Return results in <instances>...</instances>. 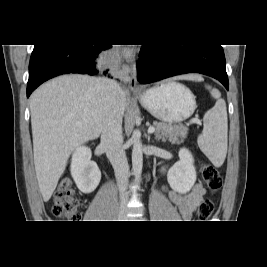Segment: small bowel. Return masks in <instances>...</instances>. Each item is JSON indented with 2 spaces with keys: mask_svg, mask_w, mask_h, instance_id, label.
<instances>
[{
  "mask_svg": "<svg viewBox=\"0 0 267 267\" xmlns=\"http://www.w3.org/2000/svg\"><path fill=\"white\" fill-rule=\"evenodd\" d=\"M205 193L204 188L200 184H196L187 194L177 191L169 192L171 201L178 207L184 220H190L197 206L201 202Z\"/></svg>",
  "mask_w": 267,
  "mask_h": 267,
  "instance_id": "1",
  "label": "small bowel"
}]
</instances>
